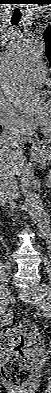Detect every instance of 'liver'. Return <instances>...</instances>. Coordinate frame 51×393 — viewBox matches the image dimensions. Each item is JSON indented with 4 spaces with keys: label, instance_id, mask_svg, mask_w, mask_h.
<instances>
[{
    "label": "liver",
    "instance_id": "obj_1",
    "mask_svg": "<svg viewBox=\"0 0 51 393\" xmlns=\"http://www.w3.org/2000/svg\"><path fill=\"white\" fill-rule=\"evenodd\" d=\"M26 172V158L12 149L4 148L0 139V176L1 174L20 176Z\"/></svg>",
    "mask_w": 51,
    "mask_h": 393
}]
</instances>
